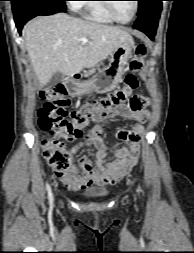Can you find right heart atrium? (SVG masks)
Listing matches in <instances>:
<instances>
[{
  "instance_id": "d8ad5b80",
  "label": "right heart atrium",
  "mask_w": 194,
  "mask_h": 253,
  "mask_svg": "<svg viewBox=\"0 0 194 253\" xmlns=\"http://www.w3.org/2000/svg\"><path fill=\"white\" fill-rule=\"evenodd\" d=\"M82 4H83V3H82L81 0H71L70 3H69V6H70V8H71L72 10L77 11V10L81 9Z\"/></svg>"
}]
</instances>
